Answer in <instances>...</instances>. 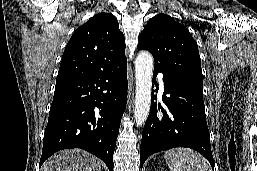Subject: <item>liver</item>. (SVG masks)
Listing matches in <instances>:
<instances>
[{
    "mask_svg": "<svg viewBox=\"0 0 257 171\" xmlns=\"http://www.w3.org/2000/svg\"><path fill=\"white\" fill-rule=\"evenodd\" d=\"M101 162L81 149L62 150L53 154L42 171H100Z\"/></svg>",
    "mask_w": 257,
    "mask_h": 171,
    "instance_id": "obj_1",
    "label": "liver"
}]
</instances>
